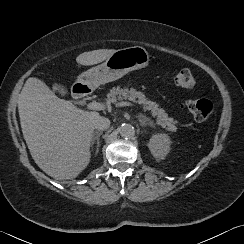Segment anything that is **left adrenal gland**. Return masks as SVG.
I'll return each mask as SVG.
<instances>
[{"mask_svg":"<svg viewBox=\"0 0 244 244\" xmlns=\"http://www.w3.org/2000/svg\"><path fill=\"white\" fill-rule=\"evenodd\" d=\"M138 120H139L140 125L142 127L147 126V125H149L151 127H154L153 122L149 118H147L146 116H144L143 114H138Z\"/></svg>","mask_w":244,"mask_h":244,"instance_id":"obj_1","label":"left adrenal gland"}]
</instances>
